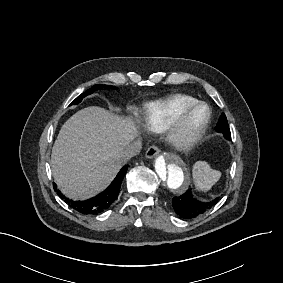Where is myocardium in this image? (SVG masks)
Listing matches in <instances>:
<instances>
[{
	"instance_id": "myocardium-1",
	"label": "myocardium",
	"mask_w": 283,
	"mask_h": 283,
	"mask_svg": "<svg viewBox=\"0 0 283 283\" xmlns=\"http://www.w3.org/2000/svg\"><path fill=\"white\" fill-rule=\"evenodd\" d=\"M162 126L160 134L168 145L174 150L184 152L197 145L205 135L212 119V111L208 104L201 101L180 106L175 100L163 102ZM201 110V118L185 134H180L181 128L193 112ZM177 111L178 117L174 120L173 112Z\"/></svg>"
}]
</instances>
